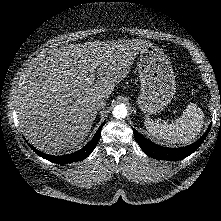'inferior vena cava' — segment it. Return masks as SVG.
Wrapping results in <instances>:
<instances>
[{"label": "inferior vena cava", "instance_id": "602c4592", "mask_svg": "<svg viewBox=\"0 0 221 221\" xmlns=\"http://www.w3.org/2000/svg\"><path fill=\"white\" fill-rule=\"evenodd\" d=\"M105 106H106V101L102 98H99L95 100L94 103L92 104V110L96 111V110L104 108Z\"/></svg>", "mask_w": 221, "mask_h": 221}]
</instances>
